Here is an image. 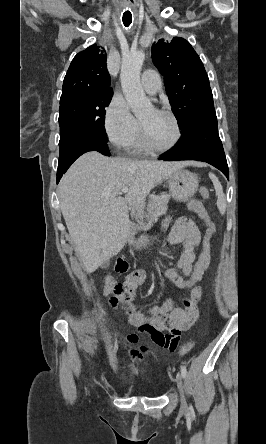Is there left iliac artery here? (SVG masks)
<instances>
[{
    "mask_svg": "<svg viewBox=\"0 0 266 444\" xmlns=\"http://www.w3.org/2000/svg\"><path fill=\"white\" fill-rule=\"evenodd\" d=\"M181 374H182L183 378H185L187 376V369L184 365L181 366Z\"/></svg>",
    "mask_w": 266,
    "mask_h": 444,
    "instance_id": "1",
    "label": "left iliac artery"
}]
</instances>
